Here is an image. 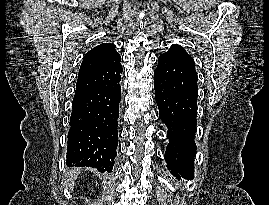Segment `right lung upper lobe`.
<instances>
[{
  "mask_svg": "<svg viewBox=\"0 0 269 205\" xmlns=\"http://www.w3.org/2000/svg\"><path fill=\"white\" fill-rule=\"evenodd\" d=\"M121 56L116 52L115 46L102 43L83 58L76 89H87L110 85L121 79Z\"/></svg>",
  "mask_w": 269,
  "mask_h": 205,
  "instance_id": "obj_1",
  "label": "right lung upper lobe"
}]
</instances>
